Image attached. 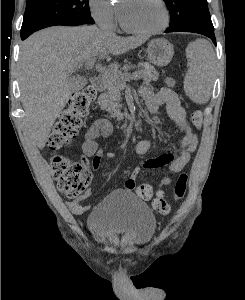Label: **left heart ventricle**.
<instances>
[{
	"label": "left heart ventricle",
	"mask_w": 245,
	"mask_h": 300,
	"mask_svg": "<svg viewBox=\"0 0 245 300\" xmlns=\"http://www.w3.org/2000/svg\"><path fill=\"white\" fill-rule=\"evenodd\" d=\"M120 10L126 23L139 29H153L164 21L158 0H123Z\"/></svg>",
	"instance_id": "1"
}]
</instances>
